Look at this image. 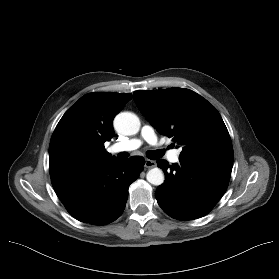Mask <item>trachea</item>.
Masks as SVG:
<instances>
[{
	"label": "trachea",
	"mask_w": 279,
	"mask_h": 279,
	"mask_svg": "<svg viewBox=\"0 0 279 279\" xmlns=\"http://www.w3.org/2000/svg\"><path fill=\"white\" fill-rule=\"evenodd\" d=\"M162 155H163V153L158 150L147 152L148 158H150L152 160H156V159L160 158Z\"/></svg>",
	"instance_id": "1"
}]
</instances>
